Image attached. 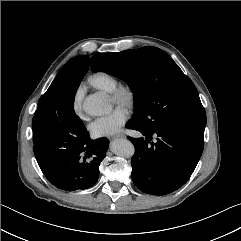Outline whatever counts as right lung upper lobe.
<instances>
[{"instance_id":"cb5924a9","label":"right lung upper lobe","mask_w":241,"mask_h":241,"mask_svg":"<svg viewBox=\"0 0 241 241\" xmlns=\"http://www.w3.org/2000/svg\"><path fill=\"white\" fill-rule=\"evenodd\" d=\"M88 57L86 56H77L70 59L63 68L58 72L57 76H73L79 80H82L84 75L88 71ZM56 76V77H57Z\"/></svg>"}]
</instances>
